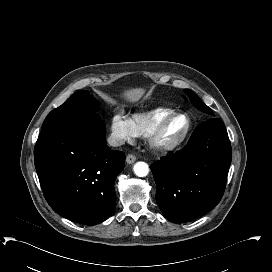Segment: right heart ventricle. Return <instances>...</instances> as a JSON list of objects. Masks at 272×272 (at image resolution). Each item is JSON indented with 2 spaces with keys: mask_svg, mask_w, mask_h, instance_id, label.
<instances>
[{
  "mask_svg": "<svg viewBox=\"0 0 272 272\" xmlns=\"http://www.w3.org/2000/svg\"><path fill=\"white\" fill-rule=\"evenodd\" d=\"M171 109H157L150 114H136L133 116V122L137 126L139 132L147 136L165 117L172 114Z\"/></svg>",
  "mask_w": 272,
  "mask_h": 272,
  "instance_id": "right-heart-ventricle-1",
  "label": "right heart ventricle"
}]
</instances>
